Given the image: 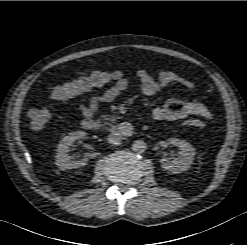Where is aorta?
<instances>
[{
    "label": "aorta",
    "instance_id": "aorta-1",
    "mask_svg": "<svg viewBox=\"0 0 247 245\" xmlns=\"http://www.w3.org/2000/svg\"><path fill=\"white\" fill-rule=\"evenodd\" d=\"M146 143L143 140H135L132 144V150L136 153H143L146 150Z\"/></svg>",
    "mask_w": 247,
    "mask_h": 245
}]
</instances>
